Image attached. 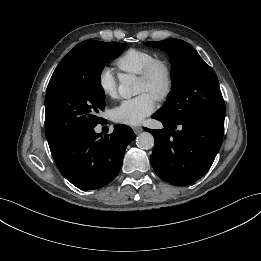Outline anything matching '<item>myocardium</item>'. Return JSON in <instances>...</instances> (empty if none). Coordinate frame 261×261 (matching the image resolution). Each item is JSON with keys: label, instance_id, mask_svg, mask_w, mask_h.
<instances>
[{"label": "myocardium", "instance_id": "f54148a6", "mask_svg": "<svg viewBox=\"0 0 261 261\" xmlns=\"http://www.w3.org/2000/svg\"><path fill=\"white\" fill-rule=\"evenodd\" d=\"M160 70L164 73V85L156 92L154 98L157 101H164L170 96L174 87V72L168 60L156 57L139 74V79L151 83Z\"/></svg>", "mask_w": 261, "mask_h": 261}]
</instances>
